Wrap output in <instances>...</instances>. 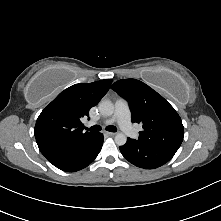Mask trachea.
Segmentation results:
<instances>
[{"mask_svg": "<svg viewBox=\"0 0 221 221\" xmlns=\"http://www.w3.org/2000/svg\"><path fill=\"white\" fill-rule=\"evenodd\" d=\"M86 130L91 131V132H98V131L101 130V126H99V125H94V126H92V127H90V128H86ZM106 130H107V131H110V132H116V131H117V128H116L115 126L110 125V126H107V127H106Z\"/></svg>", "mask_w": 221, "mask_h": 221, "instance_id": "trachea-1", "label": "trachea"}]
</instances>
